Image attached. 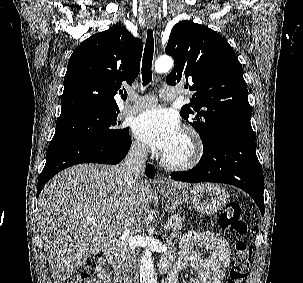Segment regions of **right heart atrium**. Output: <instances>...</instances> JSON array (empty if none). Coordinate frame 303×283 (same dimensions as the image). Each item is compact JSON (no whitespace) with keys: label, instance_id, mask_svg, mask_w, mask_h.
<instances>
[{"label":"right heart atrium","instance_id":"obj_1","mask_svg":"<svg viewBox=\"0 0 303 283\" xmlns=\"http://www.w3.org/2000/svg\"><path fill=\"white\" fill-rule=\"evenodd\" d=\"M131 152L139 157V158H143L147 155L148 153V149L146 147V145L144 143H142L139 140H134L131 144Z\"/></svg>","mask_w":303,"mask_h":283}]
</instances>
